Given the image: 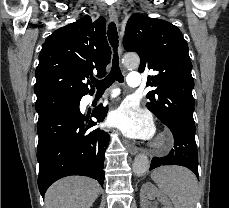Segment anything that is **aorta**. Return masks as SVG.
<instances>
[{
    "instance_id": "obj_1",
    "label": "aorta",
    "mask_w": 229,
    "mask_h": 208,
    "mask_svg": "<svg viewBox=\"0 0 229 208\" xmlns=\"http://www.w3.org/2000/svg\"><path fill=\"white\" fill-rule=\"evenodd\" d=\"M140 59L136 54H126L124 56V65L128 69L137 68L139 66ZM150 162L146 155L140 154L135 157L132 170L136 176L144 175L149 169Z\"/></svg>"
}]
</instances>
